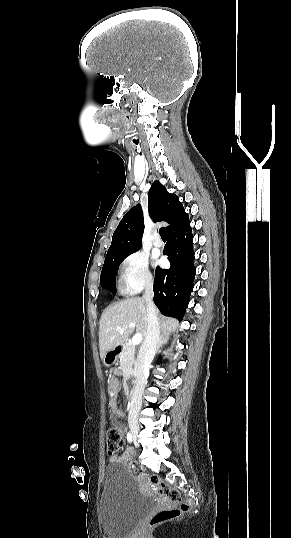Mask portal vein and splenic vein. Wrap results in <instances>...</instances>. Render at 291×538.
<instances>
[{"instance_id": "portal-vein-and-splenic-vein-1", "label": "portal vein and splenic vein", "mask_w": 291, "mask_h": 538, "mask_svg": "<svg viewBox=\"0 0 291 538\" xmlns=\"http://www.w3.org/2000/svg\"><path fill=\"white\" fill-rule=\"evenodd\" d=\"M126 327H135V323H129ZM120 331L123 330V328H118ZM142 341V335L140 333H136L132 340H131V344L132 345H138L140 344Z\"/></svg>"}]
</instances>
